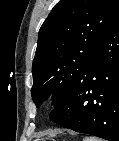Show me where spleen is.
<instances>
[{"instance_id":"obj_1","label":"spleen","mask_w":119,"mask_h":141,"mask_svg":"<svg viewBox=\"0 0 119 141\" xmlns=\"http://www.w3.org/2000/svg\"><path fill=\"white\" fill-rule=\"evenodd\" d=\"M83 141H99V140L97 138H95V137H85L83 139Z\"/></svg>"}]
</instances>
